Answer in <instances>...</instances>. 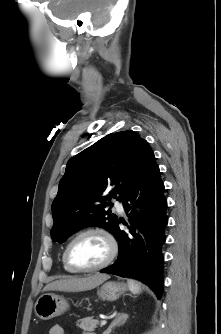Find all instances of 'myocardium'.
<instances>
[{"label": "myocardium", "instance_id": "1", "mask_svg": "<svg viewBox=\"0 0 221 334\" xmlns=\"http://www.w3.org/2000/svg\"><path fill=\"white\" fill-rule=\"evenodd\" d=\"M91 233L99 234L105 238L109 246L108 256L106 257L104 261H102L98 265H95L92 267H85V268L77 267L73 265L70 260V249L77 239H79L80 237L86 234H91ZM117 253H118V242L115 236L113 235V233L109 231L108 229L101 227V226H91V227H87V228L80 230L70 239V241L67 243L66 248L64 250V261H65V264L68 266V268L74 272H93V271L101 270L107 267L108 265H110L112 261L115 259Z\"/></svg>", "mask_w": 221, "mask_h": 334}]
</instances>
